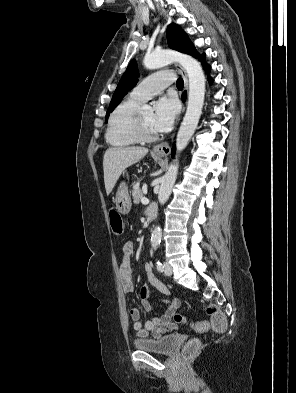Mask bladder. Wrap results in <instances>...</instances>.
Listing matches in <instances>:
<instances>
[{"instance_id":"31cf9c89","label":"bladder","mask_w":296,"mask_h":393,"mask_svg":"<svg viewBox=\"0 0 296 393\" xmlns=\"http://www.w3.org/2000/svg\"><path fill=\"white\" fill-rule=\"evenodd\" d=\"M178 337L175 335H163L159 337H146L137 339L135 347L138 350L156 353L160 355H170L176 349Z\"/></svg>"}]
</instances>
